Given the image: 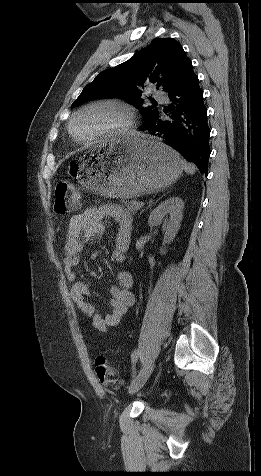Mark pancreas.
<instances>
[{
	"label": "pancreas",
	"instance_id": "1",
	"mask_svg": "<svg viewBox=\"0 0 261 476\" xmlns=\"http://www.w3.org/2000/svg\"><path fill=\"white\" fill-rule=\"evenodd\" d=\"M124 204L126 207L125 211L133 215L136 214L142 208V206L139 205V202L135 200L126 201Z\"/></svg>",
	"mask_w": 261,
	"mask_h": 476
}]
</instances>
